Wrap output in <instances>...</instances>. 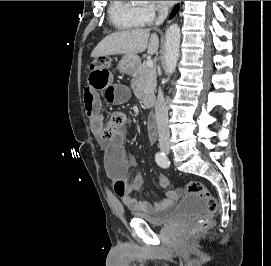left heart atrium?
<instances>
[{"mask_svg":"<svg viewBox=\"0 0 271 266\" xmlns=\"http://www.w3.org/2000/svg\"><path fill=\"white\" fill-rule=\"evenodd\" d=\"M162 4L164 5H168V4H171L173 3L174 1H160Z\"/></svg>","mask_w":271,"mask_h":266,"instance_id":"1","label":"left heart atrium"}]
</instances>
